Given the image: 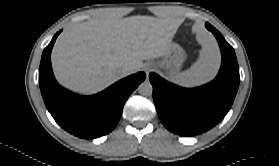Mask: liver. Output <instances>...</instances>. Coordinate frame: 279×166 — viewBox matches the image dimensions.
Returning a JSON list of instances; mask_svg holds the SVG:
<instances>
[{
	"label": "liver",
	"mask_w": 279,
	"mask_h": 166,
	"mask_svg": "<svg viewBox=\"0 0 279 166\" xmlns=\"http://www.w3.org/2000/svg\"><path fill=\"white\" fill-rule=\"evenodd\" d=\"M182 22L170 14L108 16L72 26L52 50L55 76L72 91H100L123 77V66H132L133 73L143 67V60L162 56Z\"/></svg>",
	"instance_id": "obj_1"
}]
</instances>
